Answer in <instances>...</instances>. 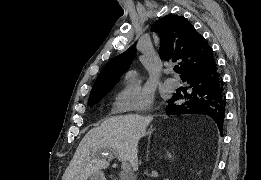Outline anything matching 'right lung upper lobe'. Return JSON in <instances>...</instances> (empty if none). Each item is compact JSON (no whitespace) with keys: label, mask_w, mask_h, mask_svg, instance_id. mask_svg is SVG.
Instances as JSON below:
<instances>
[{"label":"right lung upper lobe","mask_w":261,"mask_h":180,"mask_svg":"<svg viewBox=\"0 0 261 180\" xmlns=\"http://www.w3.org/2000/svg\"><path fill=\"white\" fill-rule=\"evenodd\" d=\"M160 36L159 54L166 61H179L181 78L189 71L214 61L206 40L183 16L168 15L152 28ZM136 54L135 44L110 60L97 77L90 98L108 93L126 72Z\"/></svg>","instance_id":"right-lung-upper-lobe-1"}]
</instances>
